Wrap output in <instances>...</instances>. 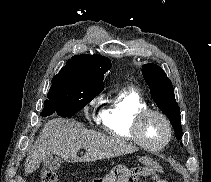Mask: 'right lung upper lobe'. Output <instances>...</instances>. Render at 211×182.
<instances>
[{
    "instance_id": "1",
    "label": "right lung upper lobe",
    "mask_w": 211,
    "mask_h": 182,
    "mask_svg": "<svg viewBox=\"0 0 211 182\" xmlns=\"http://www.w3.org/2000/svg\"><path fill=\"white\" fill-rule=\"evenodd\" d=\"M111 66V61L99 54L75 55L67 61L56 76L104 89V74Z\"/></svg>"
}]
</instances>
